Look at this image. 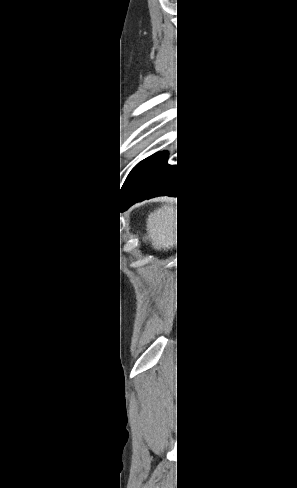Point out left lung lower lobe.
<instances>
[{
	"label": "left lung lower lobe",
	"mask_w": 297,
	"mask_h": 488,
	"mask_svg": "<svg viewBox=\"0 0 297 488\" xmlns=\"http://www.w3.org/2000/svg\"><path fill=\"white\" fill-rule=\"evenodd\" d=\"M168 153H157L147 164L140 176L123 194L125 203H135L147 198L173 195L181 191L179 171L175 165L167 163Z\"/></svg>",
	"instance_id": "0a47b994"
}]
</instances>
